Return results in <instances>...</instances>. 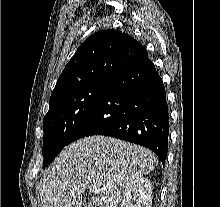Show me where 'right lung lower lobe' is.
I'll return each instance as SVG.
<instances>
[{
    "mask_svg": "<svg viewBox=\"0 0 220 207\" xmlns=\"http://www.w3.org/2000/svg\"><path fill=\"white\" fill-rule=\"evenodd\" d=\"M90 135L112 136L142 145L165 163L169 135L166 92L147 56L107 81L97 104L69 142Z\"/></svg>",
    "mask_w": 220,
    "mask_h": 207,
    "instance_id": "1",
    "label": "right lung lower lobe"
}]
</instances>
